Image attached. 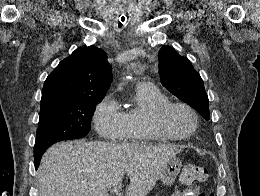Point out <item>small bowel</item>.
<instances>
[{
  "instance_id": "1",
  "label": "small bowel",
  "mask_w": 260,
  "mask_h": 196,
  "mask_svg": "<svg viewBox=\"0 0 260 196\" xmlns=\"http://www.w3.org/2000/svg\"><path fill=\"white\" fill-rule=\"evenodd\" d=\"M172 196H205L198 187H188L184 192H174Z\"/></svg>"
}]
</instances>
